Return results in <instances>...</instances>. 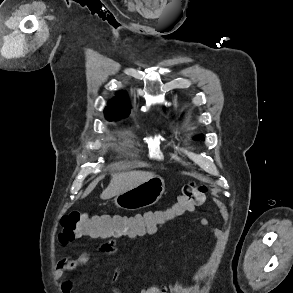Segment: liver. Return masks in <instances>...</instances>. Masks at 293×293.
Here are the masks:
<instances>
[{"label":"liver","mask_w":293,"mask_h":293,"mask_svg":"<svg viewBox=\"0 0 293 293\" xmlns=\"http://www.w3.org/2000/svg\"><path fill=\"white\" fill-rule=\"evenodd\" d=\"M152 172L145 171H129L112 174L111 180L107 188L102 192L100 198L103 200L110 199L120 193L130 190L143 182L152 178ZM99 178L94 180L85 190L82 198L86 197L96 187Z\"/></svg>","instance_id":"obj_1"}]
</instances>
